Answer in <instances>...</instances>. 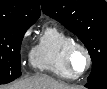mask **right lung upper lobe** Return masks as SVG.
Wrapping results in <instances>:
<instances>
[{
	"mask_svg": "<svg viewBox=\"0 0 107 89\" xmlns=\"http://www.w3.org/2000/svg\"><path fill=\"white\" fill-rule=\"evenodd\" d=\"M39 16V0H0L2 22L31 26Z\"/></svg>",
	"mask_w": 107,
	"mask_h": 89,
	"instance_id": "right-lung-upper-lobe-1",
	"label": "right lung upper lobe"
}]
</instances>
